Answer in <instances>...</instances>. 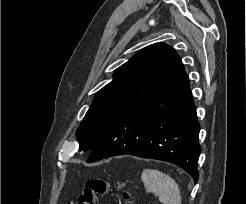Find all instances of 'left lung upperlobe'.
<instances>
[{"label":"left lung upper lobe","mask_w":246,"mask_h":204,"mask_svg":"<svg viewBox=\"0 0 246 204\" xmlns=\"http://www.w3.org/2000/svg\"><path fill=\"white\" fill-rule=\"evenodd\" d=\"M183 71L179 55L166 44L136 53L95 95L76 132L80 150L90 151L114 123Z\"/></svg>","instance_id":"5c2ea615"}]
</instances>
